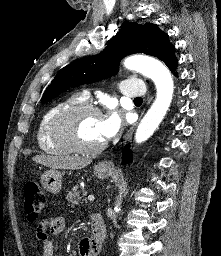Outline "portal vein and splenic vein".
<instances>
[{"label":"portal vein and splenic vein","instance_id":"18ae733b","mask_svg":"<svg viewBox=\"0 0 221 256\" xmlns=\"http://www.w3.org/2000/svg\"><path fill=\"white\" fill-rule=\"evenodd\" d=\"M94 199H95V197H94L93 195H89V196H88V200H89L90 202L94 201Z\"/></svg>","mask_w":221,"mask_h":256}]
</instances>
